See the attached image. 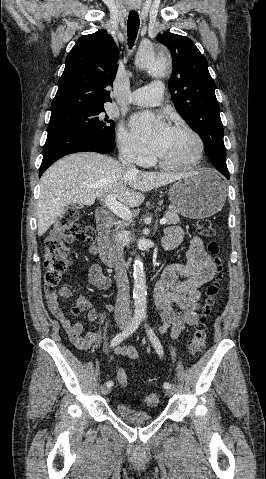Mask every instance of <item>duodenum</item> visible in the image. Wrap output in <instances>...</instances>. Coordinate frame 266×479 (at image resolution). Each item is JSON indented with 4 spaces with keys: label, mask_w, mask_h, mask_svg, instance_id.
I'll list each match as a JSON object with an SVG mask.
<instances>
[{
    "label": "duodenum",
    "mask_w": 266,
    "mask_h": 479,
    "mask_svg": "<svg viewBox=\"0 0 266 479\" xmlns=\"http://www.w3.org/2000/svg\"><path fill=\"white\" fill-rule=\"evenodd\" d=\"M97 224V234L93 246L95 254L103 263L111 268L118 266V259L110 245L108 229L111 224V216L107 209L98 208L95 215Z\"/></svg>",
    "instance_id": "duodenum-1"
}]
</instances>
